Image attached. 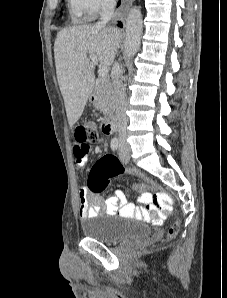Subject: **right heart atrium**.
<instances>
[{"mask_svg":"<svg viewBox=\"0 0 227 298\" xmlns=\"http://www.w3.org/2000/svg\"><path fill=\"white\" fill-rule=\"evenodd\" d=\"M71 7L90 17L111 9L114 0H69Z\"/></svg>","mask_w":227,"mask_h":298,"instance_id":"right-heart-atrium-1","label":"right heart atrium"}]
</instances>
